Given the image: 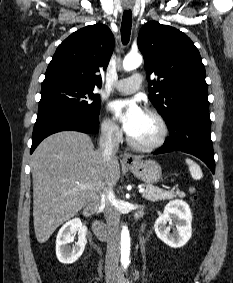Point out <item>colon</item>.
Wrapping results in <instances>:
<instances>
[{
	"mask_svg": "<svg viewBox=\"0 0 233 283\" xmlns=\"http://www.w3.org/2000/svg\"><path fill=\"white\" fill-rule=\"evenodd\" d=\"M190 194H191V198H192V200H195V199H196V197L194 196V191H193V190H190Z\"/></svg>",
	"mask_w": 233,
	"mask_h": 283,
	"instance_id": "1",
	"label": "colon"
}]
</instances>
